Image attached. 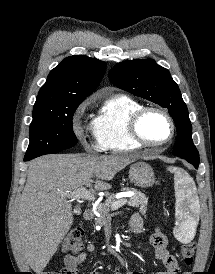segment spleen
<instances>
[{
    "mask_svg": "<svg viewBox=\"0 0 215 274\" xmlns=\"http://www.w3.org/2000/svg\"><path fill=\"white\" fill-rule=\"evenodd\" d=\"M168 170L174 173L176 218L178 221L174 235L179 241L188 243L193 239L197 225L196 186L185 170L176 167H169Z\"/></svg>",
    "mask_w": 215,
    "mask_h": 274,
    "instance_id": "1",
    "label": "spleen"
}]
</instances>
